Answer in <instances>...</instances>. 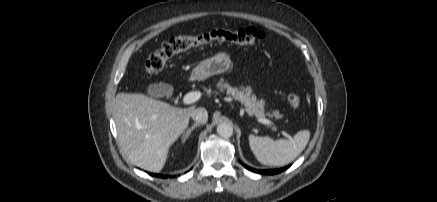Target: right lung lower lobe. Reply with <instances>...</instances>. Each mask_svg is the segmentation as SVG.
Segmentation results:
<instances>
[{"label":"right lung lower lobe","mask_w":437,"mask_h":202,"mask_svg":"<svg viewBox=\"0 0 437 202\" xmlns=\"http://www.w3.org/2000/svg\"><path fill=\"white\" fill-rule=\"evenodd\" d=\"M152 175L155 177H164L163 175H160V174H152Z\"/></svg>","instance_id":"1"}]
</instances>
